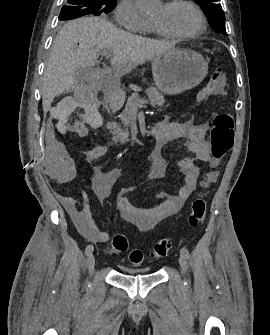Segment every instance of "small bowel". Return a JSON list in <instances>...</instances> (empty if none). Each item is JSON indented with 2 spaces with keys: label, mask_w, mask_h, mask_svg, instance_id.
<instances>
[{
  "label": "small bowel",
  "mask_w": 270,
  "mask_h": 335,
  "mask_svg": "<svg viewBox=\"0 0 270 335\" xmlns=\"http://www.w3.org/2000/svg\"><path fill=\"white\" fill-rule=\"evenodd\" d=\"M78 125V124H77ZM208 124H191L183 122H172L167 119L156 124V144L152 153L153 168L150 174L152 179H161L165 176L168 161L163 156L162 150L168 143L175 140H185L188 150L201 162L210 167H217L209 154V146L205 140ZM72 127H63V121H46L45 134H72ZM49 158H40V165H46L47 178H59L67 182L75 178L74 169H79V162L68 158V145L57 144L53 135L46 136ZM108 152L105 145H97L86 152L87 161H95ZM177 168L183 176V185L175 195H167L164 201L157 205L135 206L129 202L126 195L132 188H123L117 195L116 205L122 219L135 226L142 232L149 231L159 222L175 215L184 206L192 192L196 189L199 177V167L190 157L183 158L177 162ZM93 191L99 203L103 204L112 192L113 186L120 179L122 170L113 167L108 170L92 168ZM63 202L67 211L75 222L81 234L94 243H105L109 240V234L101 230L92 217L90 200L85 191L81 192L80 200L73 197H64ZM81 205V208H78Z\"/></svg>",
  "instance_id": "1"
}]
</instances>
